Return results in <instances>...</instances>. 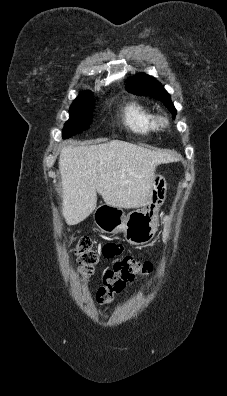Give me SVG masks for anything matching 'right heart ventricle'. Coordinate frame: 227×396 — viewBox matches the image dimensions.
<instances>
[{
    "label": "right heart ventricle",
    "mask_w": 227,
    "mask_h": 396,
    "mask_svg": "<svg viewBox=\"0 0 227 396\" xmlns=\"http://www.w3.org/2000/svg\"><path fill=\"white\" fill-rule=\"evenodd\" d=\"M122 120L130 131L140 135L155 133L159 129L154 111L137 101H132L123 107Z\"/></svg>",
    "instance_id": "e07e8e85"
}]
</instances>
